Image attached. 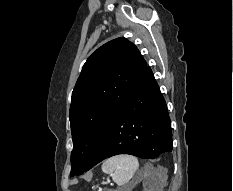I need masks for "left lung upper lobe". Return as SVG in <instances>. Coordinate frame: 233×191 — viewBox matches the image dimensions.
<instances>
[{
  "label": "left lung upper lobe",
  "instance_id": "5c2ea615",
  "mask_svg": "<svg viewBox=\"0 0 233 191\" xmlns=\"http://www.w3.org/2000/svg\"><path fill=\"white\" fill-rule=\"evenodd\" d=\"M145 67L137 47L125 38L109 41L87 59L70 106L71 176L87 166Z\"/></svg>",
  "mask_w": 233,
  "mask_h": 191
}]
</instances>
